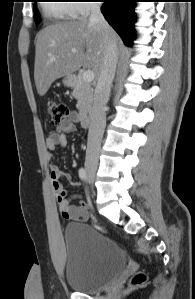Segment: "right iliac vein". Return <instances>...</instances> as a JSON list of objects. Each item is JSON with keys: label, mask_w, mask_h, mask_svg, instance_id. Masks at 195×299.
<instances>
[{"label": "right iliac vein", "mask_w": 195, "mask_h": 299, "mask_svg": "<svg viewBox=\"0 0 195 299\" xmlns=\"http://www.w3.org/2000/svg\"><path fill=\"white\" fill-rule=\"evenodd\" d=\"M86 170H87V173H88V180H89V182L93 183L94 179H95V170H96V167L94 165H88L86 167Z\"/></svg>", "instance_id": "63e3f726"}]
</instances>
